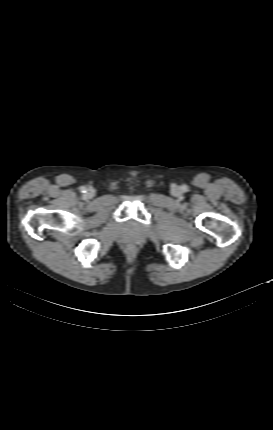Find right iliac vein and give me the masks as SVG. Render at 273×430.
<instances>
[{"mask_svg":"<svg viewBox=\"0 0 273 430\" xmlns=\"http://www.w3.org/2000/svg\"><path fill=\"white\" fill-rule=\"evenodd\" d=\"M85 196H86L87 198H92V197H94V196H95V190H94L93 188H89V189L86 191Z\"/></svg>","mask_w":273,"mask_h":430,"instance_id":"1","label":"right iliac vein"}]
</instances>
